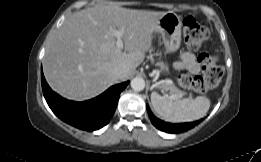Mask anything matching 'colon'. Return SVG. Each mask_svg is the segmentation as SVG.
Listing matches in <instances>:
<instances>
[{
	"mask_svg": "<svg viewBox=\"0 0 261 162\" xmlns=\"http://www.w3.org/2000/svg\"><path fill=\"white\" fill-rule=\"evenodd\" d=\"M183 34L187 47L198 53V61L202 65L201 75H181L178 83L181 88L205 94L214 89L221 81L224 69L218 64L216 55L201 51V46L209 37L207 27L201 25L195 18L188 16L183 19Z\"/></svg>",
	"mask_w": 261,
	"mask_h": 162,
	"instance_id": "5ec220e1",
	"label": "colon"
}]
</instances>
